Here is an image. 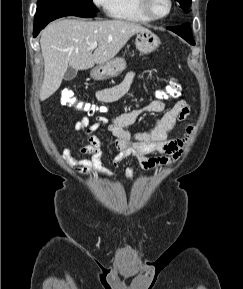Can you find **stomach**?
Here are the masks:
<instances>
[{
	"label": "stomach",
	"instance_id": "1",
	"mask_svg": "<svg viewBox=\"0 0 243 289\" xmlns=\"http://www.w3.org/2000/svg\"><path fill=\"white\" fill-rule=\"evenodd\" d=\"M136 48L141 54H149L161 44L160 39L150 30L137 33L135 39ZM126 68V61L122 57H116L110 61L96 66L91 71V76L96 80H103L119 75Z\"/></svg>",
	"mask_w": 243,
	"mask_h": 289
}]
</instances>
